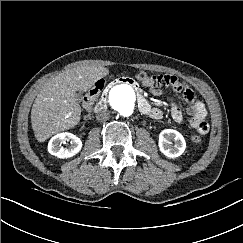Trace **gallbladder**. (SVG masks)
<instances>
[{"label": "gallbladder", "mask_w": 243, "mask_h": 243, "mask_svg": "<svg viewBox=\"0 0 243 243\" xmlns=\"http://www.w3.org/2000/svg\"><path fill=\"white\" fill-rule=\"evenodd\" d=\"M76 96H77V99L79 100L80 97H81V94L80 93H77Z\"/></svg>", "instance_id": "obj_1"}]
</instances>
